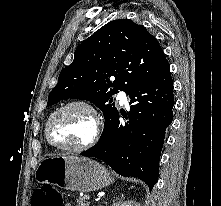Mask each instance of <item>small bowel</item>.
Masks as SVG:
<instances>
[{"instance_id":"small-bowel-1","label":"small bowel","mask_w":221,"mask_h":206,"mask_svg":"<svg viewBox=\"0 0 221 206\" xmlns=\"http://www.w3.org/2000/svg\"><path fill=\"white\" fill-rule=\"evenodd\" d=\"M65 206H71L70 204H65Z\"/></svg>"}]
</instances>
